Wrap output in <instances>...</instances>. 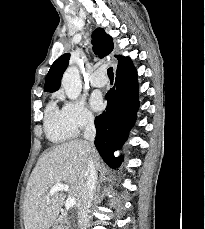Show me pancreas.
<instances>
[{
    "instance_id": "pancreas-1",
    "label": "pancreas",
    "mask_w": 205,
    "mask_h": 229,
    "mask_svg": "<svg viewBox=\"0 0 205 229\" xmlns=\"http://www.w3.org/2000/svg\"><path fill=\"white\" fill-rule=\"evenodd\" d=\"M53 229H70V224L68 222L67 216L64 214L59 216L57 222L53 226Z\"/></svg>"
}]
</instances>
